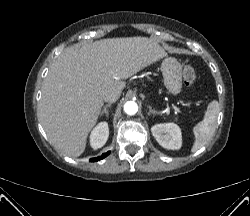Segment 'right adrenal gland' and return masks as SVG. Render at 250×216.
<instances>
[{"label": "right adrenal gland", "mask_w": 250, "mask_h": 216, "mask_svg": "<svg viewBox=\"0 0 250 216\" xmlns=\"http://www.w3.org/2000/svg\"><path fill=\"white\" fill-rule=\"evenodd\" d=\"M111 106V103L107 104L104 106V109L100 112V116H103L104 114L108 117L109 116V112L108 109Z\"/></svg>", "instance_id": "obj_1"}]
</instances>
